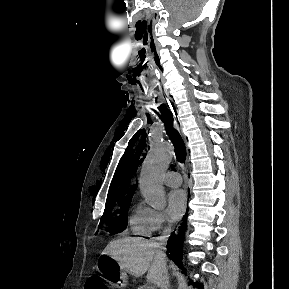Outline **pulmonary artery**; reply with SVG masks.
<instances>
[{"label": "pulmonary artery", "mask_w": 289, "mask_h": 289, "mask_svg": "<svg viewBox=\"0 0 289 289\" xmlns=\"http://www.w3.org/2000/svg\"><path fill=\"white\" fill-rule=\"evenodd\" d=\"M163 182L170 187H178L181 184V176L176 171H168L163 175Z\"/></svg>", "instance_id": "e3ab8cb5"}]
</instances>
